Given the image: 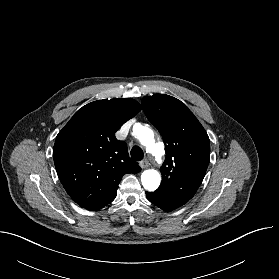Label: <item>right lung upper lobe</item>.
Returning <instances> with one entry per match:
<instances>
[{"label": "right lung upper lobe", "instance_id": "cb5924a9", "mask_svg": "<svg viewBox=\"0 0 279 279\" xmlns=\"http://www.w3.org/2000/svg\"><path fill=\"white\" fill-rule=\"evenodd\" d=\"M141 110L131 99L97 100L79 109L59 132L53 148L58 177L81 207L99 210L112 202L126 173H138L127 145L115 132Z\"/></svg>", "mask_w": 279, "mask_h": 279}]
</instances>
